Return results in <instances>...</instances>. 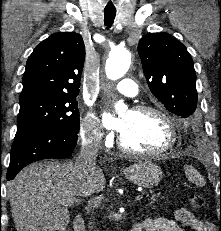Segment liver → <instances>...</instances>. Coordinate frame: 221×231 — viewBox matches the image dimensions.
Here are the masks:
<instances>
[{"mask_svg":"<svg viewBox=\"0 0 221 231\" xmlns=\"http://www.w3.org/2000/svg\"><path fill=\"white\" fill-rule=\"evenodd\" d=\"M105 183L96 161L90 166L75 160L38 162L25 167L8 184L16 230L65 231L70 214L64 200L99 193Z\"/></svg>","mask_w":221,"mask_h":231,"instance_id":"obj_1","label":"liver"}]
</instances>
